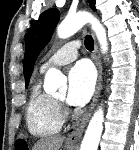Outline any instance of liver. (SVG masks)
<instances>
[{
    "mask_svg": "<svg viewBox=\"0 0 139 150\" xmlns=\"http://www.w3.org/2000/svg\"><path fill=\"white\" fill-rule=\"evenodd\" d=\"M63 136H49L37 141L32 150H59L63 141Z\"/></svg>",
    "mask_w": 139,
    "mask_h": 150,
    "instance_id": "6515ba94",
    "label": "liver"
}]
</instances>
